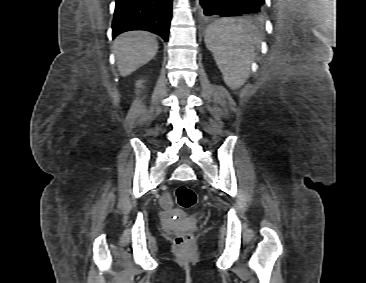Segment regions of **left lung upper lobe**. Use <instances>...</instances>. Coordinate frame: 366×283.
I'll return each instance as SVG.
<instances>
[{"instance_id":"left-lung-upper-lobe-1","label":"left lung upper lobe","mask_w":366,"mask_h":283,"mask_svg":"<svg viewBox=\"0 0 366 283\" xmlns=\"http://www.w3.org/2000/svg\"><path fill=\"white\" fill-rule=\"evenodd\" d=\"M262 15H263V12L262 13H259V14H255L253 15L255 18H262Z\"/></svg>"}]
</instances>
